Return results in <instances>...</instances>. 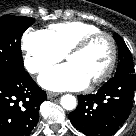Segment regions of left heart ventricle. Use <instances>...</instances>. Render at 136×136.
I'll use <instances>...</instances> for the list:
<instances>
[{
    "label": "left heart ventricle",
    "instance_id": "left-heart-ventricle-1",
    "mask_svg": "<svg viewBox=\"0 0 136 136\" xmlns=\"http://www.w3.org/2000/svg\"><path fill=\"white\" fill-rule=\"evenodd\" d=\"M110 58V42L106 37H100L83 52L70 56L67 61L75 65L90 82L106 69Z\"/></svg>",
    "mask_w": 136,
    "mask_h": 136
}]
</instances>
